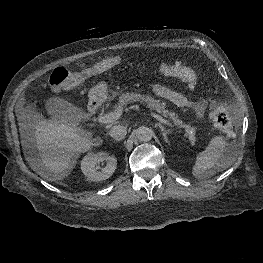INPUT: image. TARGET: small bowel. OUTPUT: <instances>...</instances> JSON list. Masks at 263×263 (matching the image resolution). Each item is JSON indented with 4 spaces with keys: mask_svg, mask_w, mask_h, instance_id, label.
<instances>
[{
    "mask_svg": "<svg viewBox=\"0 0 263 263\" xmlns=\"http://www.w3.org/2000/svg\"><path fill=\"white\" fill-rule=\"evenodd\" d=\"M153 91L159 97L171 101L178 107L192 108L198 116H203L207 109V103L204 100H193L187 95L176 92L165 86L155 85Z\"/></svg>",
    "mask_w": 263,
    "mask_h": 263,
    "instance_id": "c3829d8e",
    "label": "small bowel"
}]
</instances>
